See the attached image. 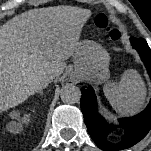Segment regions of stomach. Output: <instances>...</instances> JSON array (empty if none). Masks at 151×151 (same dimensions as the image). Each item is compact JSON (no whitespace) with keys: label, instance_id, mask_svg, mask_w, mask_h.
I'll return each instance as SVG.
<instances>
[{"label":"stomach","instance_id":"1","mask_svg":"<svg viewBox=\"0 0 151 151\" xmlns=\"http://www.w3.org/2000/svg\"><path fill=\"white\" fill-rule=\"evenodd\" d=\"M109 55L99 44L83 41L79 44L74 56V75L97 79L102 83L109 78Z\"/></svg>","mask_w":151,"mask_h":151}]
</instances>
